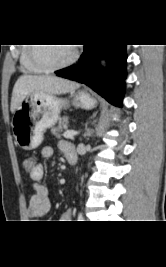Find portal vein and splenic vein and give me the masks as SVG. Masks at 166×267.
I'll use <instances>...</instances> for the list:
<instances>
[{"mask_svg":"<svg viewBox=\"0 0 166 267\" xmlns=\"http://www.w3.org/2000/svg\"><path fill=\"white\" fill-rule=\"evenodd\" d=\"M77 134H78V132H76V131H66V132H64L63 136L66 139H71Z\"/></svg>","mask_w":166,"mask_h":267,"instance_id":"1","label":"portal vein and splenic vein"}]
</instances>
